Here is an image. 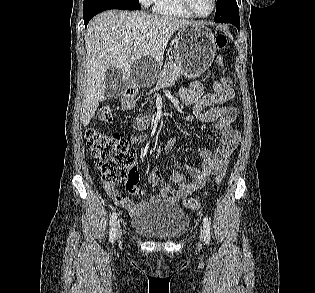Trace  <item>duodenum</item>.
<instances>
[{"label": "duodenum", "mask_w": 315, "mask_h": 293, "mask_svg": "<svg viewBox=\"0 0 315 293\" xmlns=\"http://www.w3.org/2000/svg\"><path fill=\"white\" fill-rule=\"evenodd\" d=\"M124 92H133V95L136 94V88L135 86H128L125 88ZM124 92H123V95H124ZM147 125V121L146 120H141L139 123H138V127L139 128H144L145 126Z\"/></svg>", "instance_id": "410a0bca"}]
</instances>
